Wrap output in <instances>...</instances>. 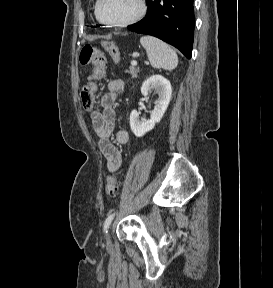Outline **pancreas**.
Listing matches in <instances>:
<instances>
[{"instance_id": "1", "label": "pancreas", "mask_w": 273, "mask_h": 288, "mask_svg": "<svg viewBox=\"0 0 273 288\" xmlns=\"http://www.w3.org/2000/svg\"><path fill=\"white\" fill-rule=\"evenodd\" d=\"M138 71L139 70L137 68H135L134 66H131L129 70H127L126 72L130 73L132 75V78H136Z\"/></svg>"}]
</instances>
